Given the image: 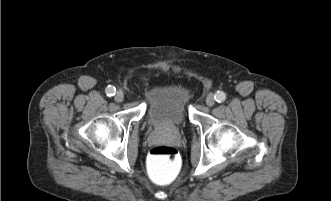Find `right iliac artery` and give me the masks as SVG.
<instances>
[{
  "mask_svg": "<svg viewBox=\"0 0 331 201\" xmlns=\"http://www.w3.org/2000/svg\"><path fill=\"white\" fill-rule=\"evenodd\" d=\"M115 91H116L115 87L110 85L105 90L107 96H113L115 94Z\"/></svg>",
  "mask_w": 331,
  "mask_h": 201,
  "instance_id": "82829eb1",
  "label": "right iliac artery"
}]
</instances>
